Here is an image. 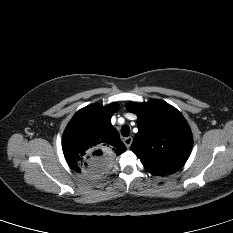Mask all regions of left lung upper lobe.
<instances>
[{
	"instance_id": "obj_1",
	"label": "left lung upper lobe",
	"mask_w": 233,
	"mask_h": 233,
	"mask_svg": "<svg viewBox=\"0 0 233 233\" xmlns=\"http://www.w3.org/2000/svg\"><path fill=\"white\" fill-rule=\"evenodd\" d=\"M126 108L138 115V133L131 150L145 169L158 176L179 170L193 145L190 127L182 114L158 99L142 104L129 102Z\"/></svg>"
}]
</instances>
